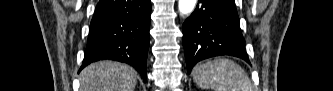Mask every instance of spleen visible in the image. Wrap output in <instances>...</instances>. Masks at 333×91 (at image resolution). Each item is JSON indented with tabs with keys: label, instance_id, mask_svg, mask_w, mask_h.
<instances>
[{
	"label": "spleen",
	"instance_id": "1",
	"mask_svg": "<svg viewBox=\"0 0 333 91\" xmlns=\"http://www.w3.org/2000/svg\"><path fill=\"white\" fill-rule=\"evenodd\" d=\"M192 76L201 88L213 91H252L249 77L236 62L218 58L196 65Z\"/></svg>",
	"mask_w": 333,
	"mask_h": 91
}]
</instances>
